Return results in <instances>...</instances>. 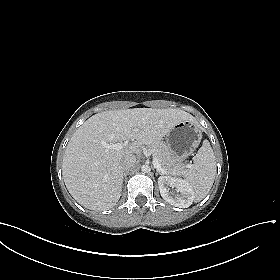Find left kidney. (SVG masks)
I'll return each instance as SVG.
<instances>
[{
  "label": "left kidney",
  "instance_id": "left-kidney-1",
  "mask_svg": "<svg viewBox=\"0 0 280 280\" xmlns=\"http://www.w3.org/2000/svg\"><path fill=\"white\" fill-rule=\"evenodd\" d=\"M158 185L162 198L173 206L187 208L195 198L194 192L186 180L170 176H160L158 178Z\"/></svg>",
  "mask_w": 280,
  "mask_h": 280
}]
</instances>
